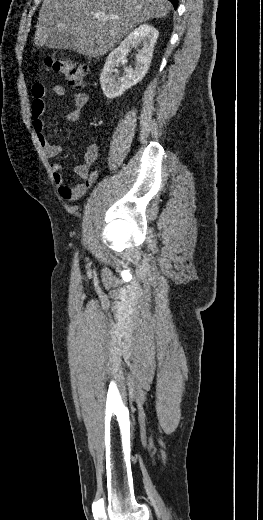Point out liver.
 Here are the masks:
<instances>
[{
  "instance_id": "1",
  "label": "liver",
  "mask_w": 263,
  "mask_h": 520,
  "mask_svg": "<svg viewBox=\"0 0 263 520\" xmlns=\"http://www.w3.org/2000/svg\"><path fill=\"white\" fill-rule=\"evenodd\" d=\"M170 9L168 0H44L34 42L43 47L57 32L72 35L75 52L99 57L111 51L137 25L163 18ZM95 13L120 18L97 19Z\"/></svg>"
}]
</instances>
